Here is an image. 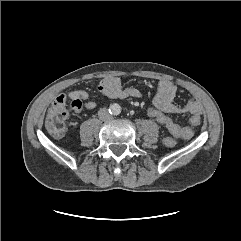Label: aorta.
Segmentation results:
<instances>
[{
  "instance_id": "obj_1",
  "label": "aorta",
  "mask_w": 241,
  "mask_h": 241,
  "mask_svg": "<svg viewBox=\"0 0 241 241\" xmlns=\"http://www.w3.org/2000/svg\"><path fill=\"white\" fill-rule=\"evenodd\" d=\"M119 108H120L119 106H116V109H117V110H119Z\"/></svg>"
}]
</instances>
